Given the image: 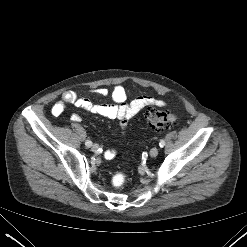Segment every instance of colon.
<instances>
[{
    "label": "colon",
    "instance_id": "colon-1",
    "mask_svg": "<svg viewBox=\"0 0 247 247\" xmlns=\"http://www.w3.org/2000/svg\"><path fill=\"white\" fill-rule=\"evenodd\" d=\"M146 119L149 126L156 131H163L171 128L178 123V116L169 112L159 111L154 108H149L146 113ZM126 182V174L117 172L112 177V184L115 187H120Z\"/></svg>",
    "mask_w": 247,
    "mask_h": 247
}]
</instances>
